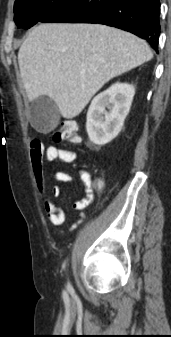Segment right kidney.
Returning <instances> with one entry per match:
<instances>
[{
	"mask_svg": "<svg viewBox=\"0 0 171 337\" xmlns=\"http://www.w3.org/2000/svg\"><path fill=\"white\" fill-rule=\"evenodd\" d=\"M134 94L133 85L115 83L94 97L86 122L87 134L92 143L104 145L118 135L129 113Z\"/></svg>",
	"mask_w": 171,
	"mask_h": 337,
	"instance_id": "right-kidney-1",
	"label": "right kidney"
}]
</instances>
